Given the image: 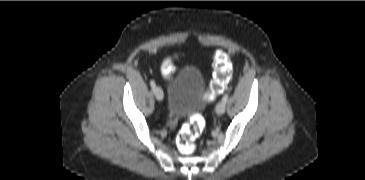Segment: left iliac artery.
Instances as JSON below:
<instances>
[{
  "instance_id": "44dca946",
  "label": "left iliac artery",
  "mask_w": 365,
  "mask_h": 180,
  "mask_svg": "<svg viewBox=\"0 0 365 180\" xmlns=\"http://www.w3.org/2000/svg\"><path fill=\"white\" fill-rule=\"evenodd\" d=\"M227 100H228V94H224L222 101L226 103Z\"/></svg>"
}]
</instances>
